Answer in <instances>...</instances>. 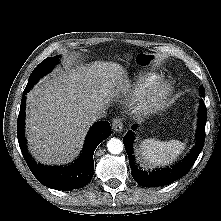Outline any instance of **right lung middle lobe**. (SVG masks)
Instances as JSON below:
<instances>
[{
	"instance_id": "1",
	"label": "right lung middle lobe",
	"mask_w": 221,
	"mask_h": 221,
	"mask_svg": "<svg viewBox=\"0 0 221 221\" xmlns=\"http://www.w3.org/2000/svg\"><path fill=\"white\" fill-rule=\"evenodd\" d=\"M58 62V56L48 57L31 73L26 88H31L41 77L51 71Z\"/></svg>"
}]
</instances>
